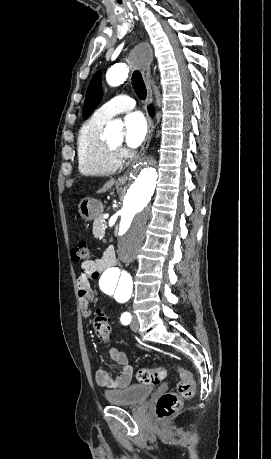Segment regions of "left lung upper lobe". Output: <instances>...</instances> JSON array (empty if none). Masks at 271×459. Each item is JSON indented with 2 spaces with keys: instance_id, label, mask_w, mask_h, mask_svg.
<instances>
[{
  "instance_id": "1",
  "label": "left lung upper lobe",
  "mask_w": 271,
  "mask_h": 459,
  "mask_svg": "<svg viewBox=\"0 0 271 459\" xmlns=\"http://www.w3.org/2000/svg\"><path fill=\"white\" fill-rule=\"evenodd\" d=\"M103 91L101 86V73L97 72L92 78L87 89L82 116L87 118L97 107L102 99Z\"/></svg>"
}]
</instances>
